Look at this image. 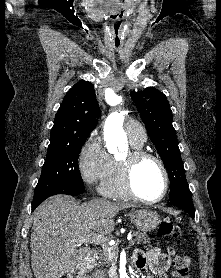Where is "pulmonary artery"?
<instances>
[{"instance_id": "pulmonary-artery-1", "label": "pulmonary artery", "mask_w": 221, "mask_h": 278, "mask_svg": "<svg viewBox=\"0 0 221 278\" xmlns=\"http://www.w3.org/2000/svg\"><path fill=\"white\" fill-rule=\"evenodd\" d=\"M126 132L131 140L145 142L146 134L143 127L136 122L129 121L126 123Z\"/></svg>"}]
</instances>
